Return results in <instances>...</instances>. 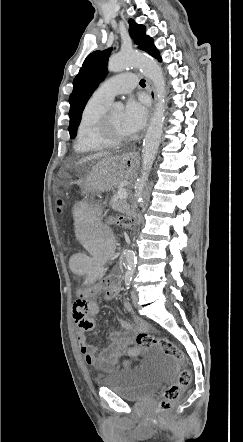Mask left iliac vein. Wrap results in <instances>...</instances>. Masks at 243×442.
Wrapping results in <instances>:
<instances>
[{
  "label": "left iliac vein",
  "mask_w": 243,
  "mask_h": 442,
  "mask_svg": "<svg viewBox=\"0 0 243 442\" xmlns=\"http://www.w3.org/2000/svg\"><path fill=\"white\" fill-rule=\"evenodd\" d=\"M131 300L134 305H137L138 297H137V293L135 291L131 292Z\"/></svg>",
  "instance_id": "1"
}]
</instances>
